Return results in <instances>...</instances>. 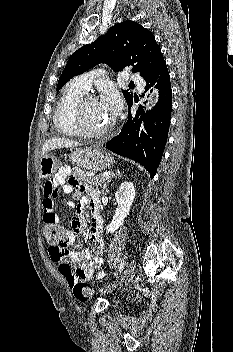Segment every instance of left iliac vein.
<instances>
[{
    "instance_id": "left-iliac-vein-1",
    "label": "left iliac vein",
    "mask_w": 233,
    "mask_h": 352,
    "mask_svg": "<svg viewBox=\"0 0 233 352\" xmlns=\"http://www.w3.org/2000/svg\"><path fill=\"white\" fill-rule=\"evenodd\" d=\"M134 269H135V264H134V263H130V264L128 265V267L126 268V270H125L123 276L120 278V280L117 281V282H116L115 284H113L112 286H110V287H108V288L102 290L101 293H102V294H105V293H108V292L114 290L116 287H118V285H119L120 283L124 282L129 276H131V275L133 274Z\"/></svg>"
}]
</instances>
